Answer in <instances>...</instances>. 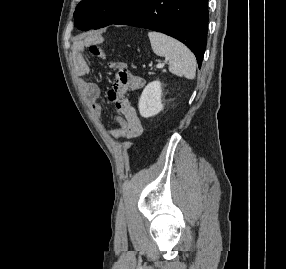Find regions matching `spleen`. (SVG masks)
Instances as JSON below:
<instances>
[{"mask_svg":"<svg viewBox=\"0 0 286 269\" xmlns=\"http://www.w3.org/2000/svg\"><path fill=\"white\" fill-rule=\"evenodd\" d=\"M148 36L154 53L168 60L169 71L172 74L190 80L195 78L196 59L184 44L155 31L149 32Z\"/></svg>","mask_w":286,"mask_h":269,"instance_id":"obj_1","label":"spleen"}]
</instances>
